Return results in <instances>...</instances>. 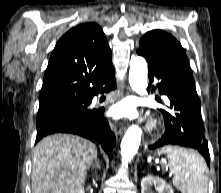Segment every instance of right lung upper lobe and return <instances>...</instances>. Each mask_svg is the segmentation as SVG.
<instances>
[{
  "label": "right lung upper lobe",
  "mask_w": 221,
  "mask_h": 193,
  "mask_svg": "<svg viewBox=\"0 0 221 193\" xmlns=\"http://www.w3.org/2000/svg\"><path fill=\"white\" fill-rule=\"evenodd\" d=\"M106 36L96 23H83L57 42L46 69L40 102L85 99L100 79L113 70Z\"/></svg>",
  "instance_id": "1"
}]
</instances>
